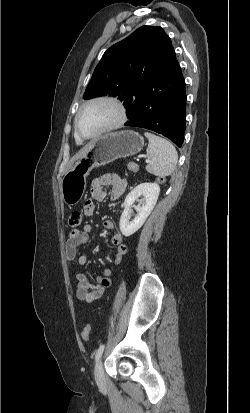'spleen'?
Returning a JSON list of instances; mask_svg holds the SVG:
<instances>
[{
    "label": "spleen",
    "mask_w": 250,
    "mask_h": 413,
    "mask_svg": "<svg viewBox=\"0 0 250 413\" xmlns=\"http://www.w3.org/2000/svg\"><path fill=\"white\" fill-rule=\"evenodd\" d=\"M148 139L147 155L150 158L146 170L159 177L171 175L178 162V153L175 147L167 139L150 132L144 133Z\"/></svg>",
    "instance_id": "3e777b00"
}]
</instances>
